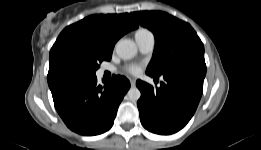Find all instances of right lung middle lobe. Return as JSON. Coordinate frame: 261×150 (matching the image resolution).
<instances>
[{
  "mask_svg": "<svg viewBox=\"0 0 261 150\" xmlns=\"http://www.w3.org/2000/svg\"><path fill=\"white\" fill-rule=\"evenodd\" d=\"M112 53L106 52L84 39L69 41L55 55L56 69L66 80L95 76L99 63L109 61Z\"/></svg>",
  "mask_w": 261,
  "mask_h": 150,
  "instance_id": "1",
  "label": "right lung middle lobe"
}]
</instances>
